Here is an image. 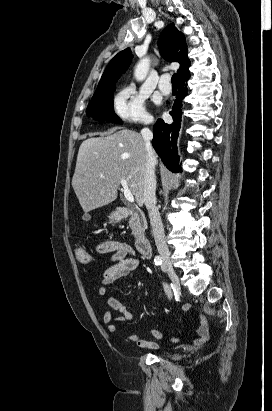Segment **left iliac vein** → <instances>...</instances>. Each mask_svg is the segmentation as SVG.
I'll list each match as a JSON object with an SVG mask.
<instances>
[{
	"instance_id": "4c4485c4",
	"label": "left iliac vein",
	"mask_w": 272,
	"mask_h": 411,
	"mask_svg": "<svg viewBox=\"0 0 272 411\" xmlns=\"http://www.w3.org/2000/svg\"><path fill=\"white\" fill-rule=\"evenodd\" d=\"M162 271H164V272H165V268H164V265H162Z\"/></svg>"
}]
</instances>
